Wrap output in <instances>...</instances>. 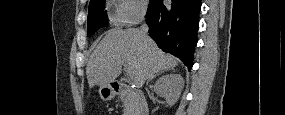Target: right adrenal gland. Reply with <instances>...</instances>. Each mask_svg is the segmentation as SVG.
I'll return each mask as SVG.
<instances>
[{
	"label": "right adrenal gland",
	"mask_w": 285,
	"mask_h": 115,
	"mask_svg": "<svg viewBox=\"0 0 285 115\" xmlns=\"http://www.w3.org/2000/svg\"><path fill=\"white\" fill-rule=\"evenodd\" d=\"M172 70H173V69H172ZM161 73H162V72H158V73H156L155 75H153L152 77L148 78L147 84H148L149 81L153 80L156 76L160 75Z\"/></svg>",
	"instance_id": "obj_1"
}]
</instances>
